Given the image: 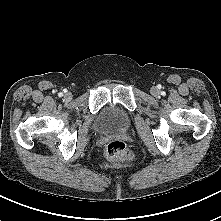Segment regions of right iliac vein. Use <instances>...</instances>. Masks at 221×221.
<instances>
[{
    "mask_svg": "<svg viewBox=\"0 0 221 221\" xmlns=\"http://www.w3.org/2000/svg\"><path fill=\"white\" fill-rule=\"evenodd\" d=\"M71 97H72L71 93H66V94H65V98H66V99H71Z\"/></svg>",
    "mask_w": 221,
    "mask_h": 221,
    "instance_id": "1",
    "label": "right iliac vein"
}]
</instances>
